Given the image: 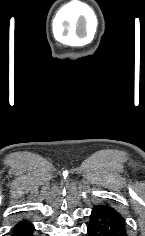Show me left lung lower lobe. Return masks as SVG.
Returning a JSON list of instances; mask_svg holds the SVG:
<instances>
[{"instance_id":"0a47b994","label":"left lung lower lobe","mask_w":145,"mask_h":236,"mask_svg":"<svg viewBox=\"0 0 145 236\" xmlns=\"http://www.w3.org/2000/svg\"><path fill=\"white\" fill-rule=\"evenodd\" d=\"M87 234L88 236H126L125 221L95 206L90 215Z\"/></svg>"}]
</instances>
